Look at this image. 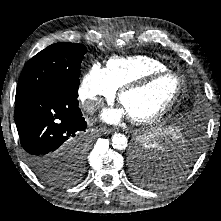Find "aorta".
Wrapping results in <instances>:
<instances>
[{
    "instance_id": "1",
    "label": "aorta",
    "mask_w": 221,
    "mask_h": 221,
    "mask_svg": "<svg viewBox=\"0 0 221 221\" xmlns=\"http://www.w3.org/2000/svg\"><path fill=\"white\" fill-rule=\"evenodd\" d=\"M112 146L117 150H124L128 146V139L124 134L115 133L112 136ZM145 150V151H144ZM147 148H143V152H146Z\"/></svg>"
}]
</instances>
